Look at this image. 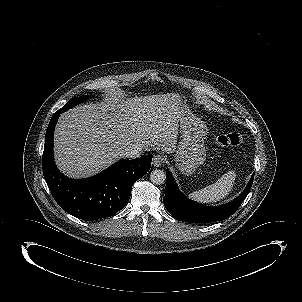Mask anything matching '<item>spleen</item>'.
I'll return each instance as SVG.
<instances>
[{
    "instance_id": "3e777b00",
    "label": "spleen",
    "mask_w": 302,
    "mask_h": 302,
    "mask_svg": "<svg viewBox=\"0 0 302 302\" xmlns=\"http://www.w3.org/2000/svg\"><path fill=\"white\" fill-rule=\"evenodd\" d=\"M235 178V171H229L223 174L214 184L190 193L189 198L200 203H212L219 201L230 193Z\"/></svg>"
}]
</instances>
